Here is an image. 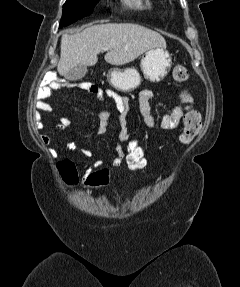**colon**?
I'll return each instance as SVG.
<instances>
[{"label":"colon","mask_w":240,"mask_h":287,"mask_svg":"<svg viewBox=\"0 0 240 287\" xmlns=\"http://www.w3.org/2000/svg\"><path fill=\"white\" fill-rule=\"evenodd\" d=\"M173 81L176 83H184L189 79V71L184 66H176L172 72ZM94 85L88 82L79 84H71V88H81L90 90ZM183 129L179 135V141L182 144H189L197 136L201 118L200 114L193 110L188 109L183 118ZM125 165L128 170L135 174H143L147 168V157L144 148L137 140H127L125 144ZM60 173L73 180L75 176V166L71 161H63L59 164ZM110 177L108 170H101L91 173L85 179V184L91 188L103 187L109 184Z\"/></svg>","instance_id":"colon-1"}]
</instances>
